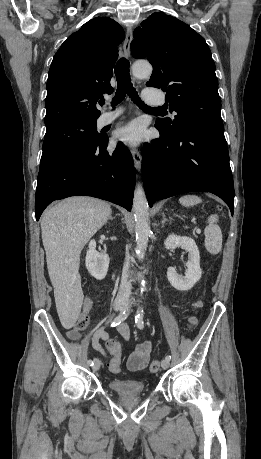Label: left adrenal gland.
Wrapping results in <instances>:
<instances>
[{
  "label": "left adrenal gland",
  "instance_id": "a2214340",
  "mask_svg": "<svg viewBox=\"0 0 261 459\" xmlns=\"http://www.w3.org/2000/svg\"><path fill=\"white\" fill-rule=\"evenodd\" d=\"M165 222H171V221L165 217V214H162V227L164 226Z\"/></svg>",
  "mask_w": 261,
  "mask_h": 459
}]
</instances>
